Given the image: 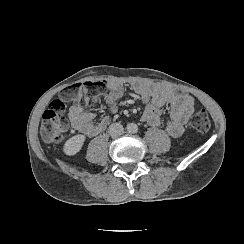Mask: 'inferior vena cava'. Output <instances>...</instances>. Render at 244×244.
<instances>
[{
    "mask_svg": "<svg viewBox=\"0 0 244 244\" xmlns=\"http://www.w3.org/2000/svg\"><path fill=\"white\" fill-rule=\"evenodd\" d=\"M124 128L120 123H113L109 126V134L111 137H118L122 135Z\"/></svg>",
    "mask_w": 244,
    "mask_h": 244,
    "instance_id": "obj_1",
    "label": "inferior vena cava"
}]
</instances>
